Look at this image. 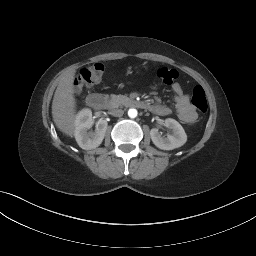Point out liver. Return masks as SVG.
I'll return each instance as SVG.
<instances>
[{"instance_id":"6515ba94","label":"liver","mask_w":256,"mask_h":256,"mask_svg":"<svg viewBox=\"0 0 256 256\" xmlns=\"http://www.w3.org/2000/svg\"><path fill=\"white\" fill-rule=\"evenodd\" d=\"M75 72V70H72L61 78L52 101L53 121L61 132L70 137L75 133Z\"/></svg>"}]
</instances>
